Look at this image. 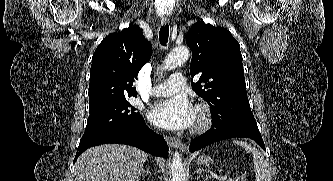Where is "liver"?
Instances as JSON below:
<instances>
[{"label":"liver","mask_w":333,"mask_h":181,"mask_svg":"<svg viewBox=\"0 0 333 181\" xmlns=\"http://www.w3.org/2000/svg\"><path fill=\"white\" fill-rule=\"evenodd\" d=\"M148 154L137 148L105 144L82 153L75 164V181H139Z\"/></svg>","instance_id":"obj_1"}]
</instances>
